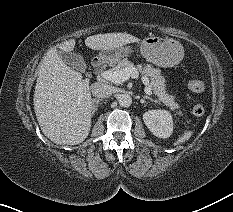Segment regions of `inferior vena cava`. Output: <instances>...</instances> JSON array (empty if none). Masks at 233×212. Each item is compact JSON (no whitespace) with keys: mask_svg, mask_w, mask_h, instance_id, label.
Masks as SVG:
<instances>
[{"mask_svg":"<svg viewBox=\"0 0 233 212\" xmlns=\"http://www.w3.org/2000/svg\"><path fill=\"white\" fill-rule=\"evenodd\" d=\"M91 92L95 97L108 98L116 92V89L112 85L102 82H95L91 85Z\"/></svg>","mask_w":233,"mask_h":212,"instance_id":"inferior-vena-cava-1","label":"inferior vena cava"}]
</instances>
